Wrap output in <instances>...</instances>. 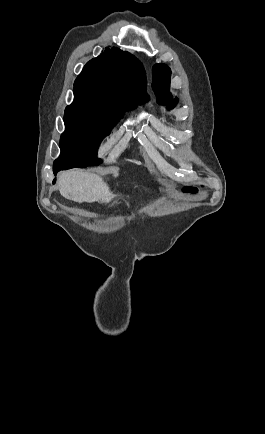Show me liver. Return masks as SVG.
Segmentation results:
<instances>
[{
	"label": "liver",
	"instance_id": "obj_1",
	"mask_svg": "<svg viewBox=\"0 0 265 434\" xmlns=\"http://www.w3.org/2000/svg\"><path fill=\"white\" fill-rule=\"evenodd\" d=\"M58 190L66 200L73 202H102L108 204L115 194L110 192L107 184L97 174L83 170H68L58 178Z\"/></svg>",
	"mask_w": 265,
	"mask_h": 434
}]
</instances>
